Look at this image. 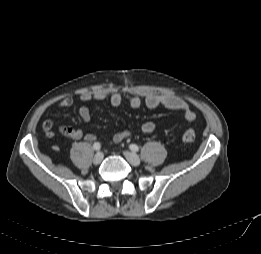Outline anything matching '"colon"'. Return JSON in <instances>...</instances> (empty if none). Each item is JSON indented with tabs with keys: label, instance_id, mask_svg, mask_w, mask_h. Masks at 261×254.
Returning a JSON list of instances; mask_svg holds the SVG:
<instances>
[{
	"label": "colon",
	"instance_id": "colon-1",
	"mask_svg": "<svg viewBox=\"0 0 261 254\" xmlns=\"http://www.w3.org/2000/svg\"><path fill=\"white\" fill-rule=\"evenodd\" d=\"M195 132L192 129H187L183 134V140L186 143H192L195 140Z\"/></svg>",
	"mask_w": 261,
	"mask_h": 254
}]
</instances>
